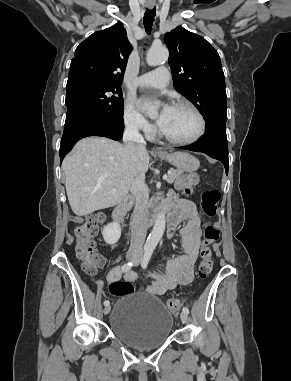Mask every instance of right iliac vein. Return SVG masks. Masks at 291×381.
<instances>
[{"mask_svg": "<svg viewBox=\"0 0 291 381\" xmlns=\"http://www.w3.org/2000/svg\"><path fill=\"white\" fill-rule=\"evenodd\" d=\"M136 255L135 254H129L127 255V260L129 261H135ZM111 307L108 305L104 308V314L107 315L110 312Z\"/></svg>", "mask_w": 291, "mask_h": 381, "instance_id": "obj_1", "label": "right iliac vein"}]
</instances>
